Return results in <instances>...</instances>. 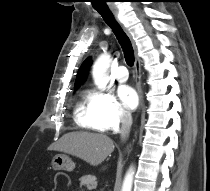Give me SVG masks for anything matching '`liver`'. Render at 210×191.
I'll return each mask as SVG.
<instances>
[{
  "label": "liver",
  "instance_id": "liver-1",
  "mask_svg": "<svg viewBox=\"0 0 210 191\" xmlns=\"http://www.w3.org/2000/svg\"><path fill=\"white\" fill-rule=\"evenodd\" d=\"M114 147L113 140L104 134L81 131L64 134L48 149L76 156L97 166L113 152Z\"/></svg>",
  "mask_w": 210,
  "mask_h": 191
}]
</instances>
